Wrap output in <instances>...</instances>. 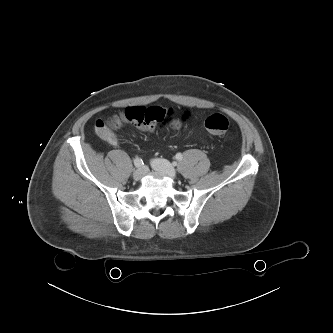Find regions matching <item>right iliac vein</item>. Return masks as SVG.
I'll return each mask as SVG.
<instances>
[{"instance_id": "obj_1", "label": "right iliac vein", "mask_w": 333, "mask_h": 333, "mask_svg": "<svg viewBox=\"0 0 333 333\" xmlns=\"http://www.w3.org/2000/svg\"><path fill=\"white\" fill-rule=\"evenodd\" d=\"M145 173H146V169L144 167L138 168L133 173V179L135 181H139L145 175Z\"/></svg>"}]
</instances>
